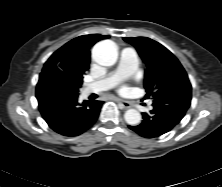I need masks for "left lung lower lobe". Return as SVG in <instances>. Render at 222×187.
<instances>
[{"mask_svg": "<svg viewBox=\"0 0 222 187\" xmlns=\"http://www.w3.org/2000/svg\"><path fill=\"white\" fill-rule=\"evenodd\" d=\"M190 102L189 90L160 95L153 100V109L149 113L142 114V123L129 128L145 138L159 137L172 130L181 121Z\"/></svg>", "mask_w": 222, "mask_h": 187, "instance_id": "0a47b994", "label": "left lung lower lobe"}]
</instances>
